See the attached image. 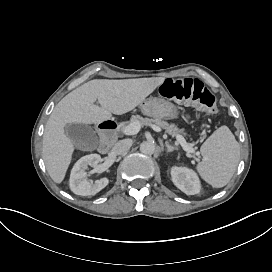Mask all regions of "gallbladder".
I'll return each instance as SVG.
<instances>
[{
  "label": "gallbladder",
  "instance_id": "1",
  "mask_svg": "<svg viewBox=\"0 0 272 272\" xmlns=\"http://www.w3.org/2000/svg\"><path fill=\"white\" fill-rule=\"evenodd\" d=\"M67 136L73 140L75 146L80 149H96L99 139L95 130L85 124L70 123L65 128Z\"/></svg>",
  "mask_w": 272,
  "mask_h": 272
}]
</instances>
